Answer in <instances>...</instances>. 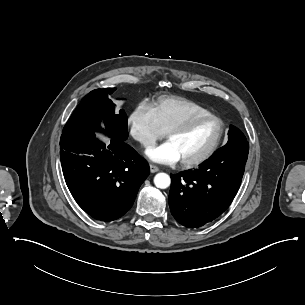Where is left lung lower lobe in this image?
I'll use <instances>...</instances> for the list:
<instances>
[{
    "label": "left lung lower lobe",
    "mask_w": 305,
    "mask_h": 305,
    "mask_svg": "<svg viewBox=\"0 0 305 305\" xmlns=\"http://www.w3.org/2000/svg\"><path fill=\"white\" fill-rule=\"evenodd\" d=\"M249 144L225 145L198 169L171 175L169 206L177 222L197 228L220 216L237 194Z\"/></svg>",
    "instance_id": "0a47b994"
}]
</instances>
